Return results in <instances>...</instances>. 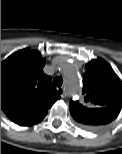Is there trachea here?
<instances>
[{
	"mask_svg": "<svg viewBox=\"0 0 122 154\" xmlns=\"http://www.w3.org/2000/svg\"><path fill=\"white\" fill-rule=\"evenodd\" d=\"M62 83H63V80H62L60 77H56V78H54V80H53V85H54L55 87H60V86H62Z\"/></svg>",
	"mask_w": 122,
	"mask_h": 154,
	"instance_id": "obj_1",
	"label": "trachea"
}]
</instances>
